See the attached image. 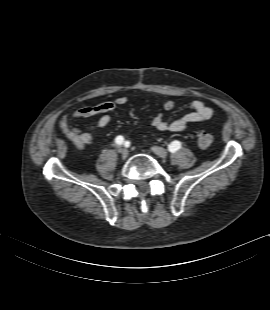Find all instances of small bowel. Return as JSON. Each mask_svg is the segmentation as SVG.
<instances>
[{"label": "small bowel", "instance_id": "obj_1", "mask_svg": "<svg viewBox=\"0 0 270 310\" xmlns=\"http://www.w3.org/2000/svg\"><path fill=\"white\" fill-rule=\"evenodd\" d=\"M127 101L126 97L121 96L112 101L84 106L70 116L62 118L60 127L67 138L72 140L78 147L83 148L91 144L93 140L91 131L108 126L111 121V113L117 107L125 105ZM190 107V112L178 118H174L172 115L165 117L162 113H158L152 119L151 124L159 131L179 133L185 131L189 124L205 122L213 115V108L201 101H193ZM163 109L168 113H172L175 109V102L172 100L166 101L163 104ZM97 115H100V118L88 130H81L74 126V121L77 119L90 118Z\"/></svg>", "mask_w": 270, "mask_h": 310}]
</instances>
